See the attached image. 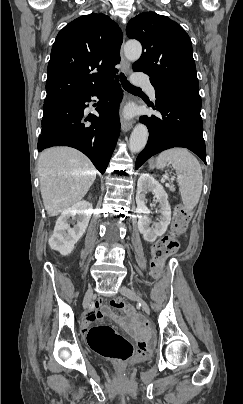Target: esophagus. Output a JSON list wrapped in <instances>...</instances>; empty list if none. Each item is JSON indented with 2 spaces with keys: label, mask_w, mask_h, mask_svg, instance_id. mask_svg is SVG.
I'll use <instances>...</instances> for the list:
<instances>
[{
  "label": "esophagus",
  "mask_w": 243,
  "mask_h": 404,
  "mask_svg": "<svg viewBox=\"0 0 243 404\" xmlns=\"http://www.w3.org/2000/svg\"><path fill=\"white\" fill-rule=\"evenodd\" d=\"M121 70L124 73H128L129 69H130V64L128 63V61L126 60V58L124 57L123 54V47H121ZM132 128V122H129L127 120L121 119V129L123 132H127L129 130H131Z\"/></svg>",
  "instance_id": "esophagus-1"
}]
</instances>
